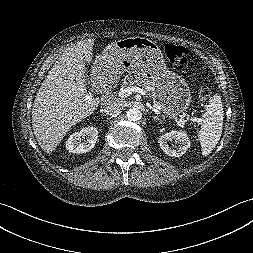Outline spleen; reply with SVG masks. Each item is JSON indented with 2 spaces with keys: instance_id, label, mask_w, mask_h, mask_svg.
<instances>
[{
  "instance_id": "3e777b00",
  "label": "spleen",
  "mask_w": 253,
  "mask_h": 253,
  "mask_svg": "<svg viewBox=\"0 0 253 253\" xmlns=\"http://www.w3.org/2000/svg\"><path fill=\"white\" fill-rule=\"evenodd\" d=\"M203 115V123L198 131L202 155L208 156L220 140L223 130V105L221 97L215 94L209 100Z\"/></svg>"
}]
</instances>
